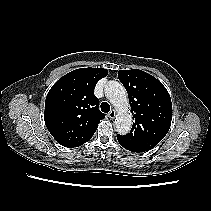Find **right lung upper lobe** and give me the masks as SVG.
I'll return each instance as SVG.
<instances>
[{
	"mask_svg": "<svg viewBox=\"0 0 211 211\" xmlns=\"http://www.w3.org/2000/svg\"><path fill=\"white\" fill-rule=\"evenodd\" d=\"M107 74L108 70L101 68L76 69L60 78L48 92L44 120L60 145L74 148L92 138L104 118L94 88Z\"/></svg>",
	"mask_w": 211,
	"mask_h": 211,
	"instance_id": "cb5924a9",
	"label": "right lung upper lobe"
}]
</instances>
